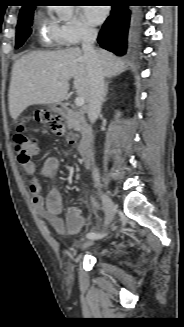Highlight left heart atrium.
<instances>
[{
    "label": "left heart atrium",
    "instance_id": "left-heart-atrium-1",
    "mask_svg": "<svg viewBox=\"0 0 184 327\" xmlns=\"http://www.w3.org/2000/svg\"><path fill=\"white\" fill-rule=\"evenodd\" d=\"M107 15V9L99 6H89L85 8V16L92 24L101 23Z\"/></svg>",
    "mask_w": 184,
    "mask_h": 327
}]
</instances>
